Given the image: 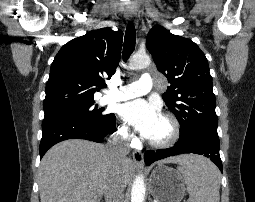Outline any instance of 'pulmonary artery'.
I'll use <instances>...</instances> for the list:
<instances>
[{
  "label": "pulmonary artery",
  "instance_id": "e3ab8cb5",
  "mask_svg": "<svg viewBox=\"0 0 255 202\" xmlns=\"http://www.w3.org/2000/svg\"><path fill=\"white\" fill-rule=\"evenodd\" d=\"M153 86L152 77L148 73L142 74L139 80L120 86L107 93L102 99L103 104L125 101L148 93Z\"/></svg>",
  "mask_w": 255,
  "mask_h": 202
}]
</instances>
